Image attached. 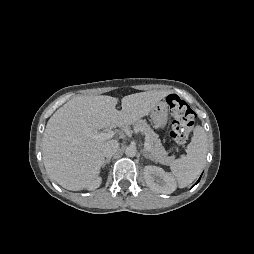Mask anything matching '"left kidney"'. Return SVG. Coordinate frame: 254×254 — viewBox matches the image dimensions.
<instances>
[{"label":"left kidney","mask_w":254,"mask_h":254,"mask_svg":"<svg viewBox=\"0 0 254 254\" xmlns=\"http://www.w3.org/2000/svg\"><path fill=\"white\" fill-rule=\"evenodd\" d=\"M144 179L147 186L154 192L171 194L176 190L175 178L160 167L152 165L145 166Z\"/></svg>","instance_id":"1"}]
</instances>
